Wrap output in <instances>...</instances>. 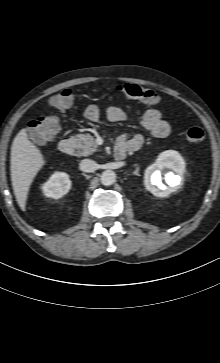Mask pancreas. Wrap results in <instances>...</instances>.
Listing matches in <instances>:
<instances>
[{
  "label": "pancreas",
  "mask_w": 220,
  "mask_h": 363,
  "mask_svg": "<svg viewBox=\"0 0 220 363\" xmlns=\"http://www.w3.org/2000/svg\"><path fill=\"white\" fill-rule=\"evenodd\" d=\"M75 140L78 142L82 149L83 156L92 155L97 151V145L94 141L93 136L89 134H78L75 136Z\"/></svg>",
  "instance_id": "pancreas-1"
}]
</instances>
